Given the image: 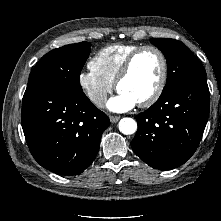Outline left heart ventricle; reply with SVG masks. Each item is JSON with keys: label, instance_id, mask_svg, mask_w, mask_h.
Instances as JSON below:
<instances>
[{"label": "left heart ventricle", "instance_id": "obj_1", "mask_svg": "<svg viewBox=\"0 0 221 221\" xmlns=\"http://www.w3.org/2000/svg\"><path fill=\"white\" fill-rule=\"evenodd\" d=\"M161 74V61L152 50L142 52L135 60L128 77L119 86V92L129 95L137 103L155 90Z\"/></svg>", "mask_w": 221, "mask_h": 221}]
</instances>
